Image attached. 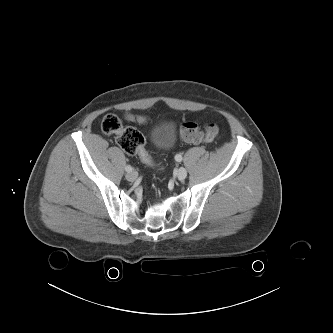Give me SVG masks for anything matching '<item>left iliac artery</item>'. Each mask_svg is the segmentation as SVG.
Here are the masks:
<instances>
[{"instance_id": "obj_1", "label": "left iliac artery", "mask_w": 333, "mask_h": 333, "mask_svg": "<svg viewBox=\"0 0 333 333\" xmlns=\"http://www.w3.org/2000/svg\"><path fill=\"white\" fill-rule=\"evenodd\" d=\"M175 160H176L177 162H181V161H182V156H181L180 154H177V155L175 156Z\"/></svg>"}]
</instances>
